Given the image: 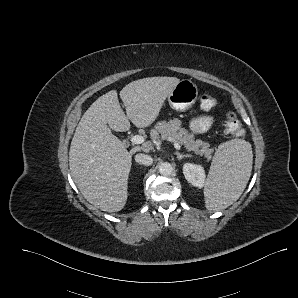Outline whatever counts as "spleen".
I'll use <instances>...</instances> for the list:
<instances>
[{
  "mask_svg": "<svg viewBox=\"0 0 298 298\" xmlns=\"http://www.w3.org/2000/svg\"><path fill=\"white\" fill-rule=\"evenodd\" d=\"M252 162L250 143L233 139L219 145L205 181L207 209H225L240 197L250 179Z\"/></svg>",
  "mask_w": 298,
  "mask_h": 298,
  "instance_id": "spleen-1",
  "label": "spleen"
}]
</instances>
